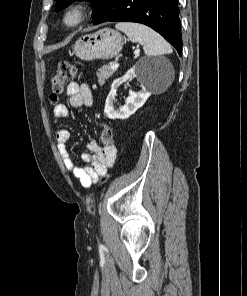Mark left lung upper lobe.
I'll return each mask as SVG.
<instances>
[{"mask_svg": "<svg viewBox=\"0 0 247 296\" xmlns=\"http://www.w3.org/2000/svg\"><path fill=\"white\" fill-rule=\"evenodd\" d=\"M76 0H57L56 11L69 5L71 2ZM93 3V14L92 17L96 18L111 2V0H88Z\"/></svg>", "mask_w": 247, "mask_h": 296, "instance_id": "obj_1", "label": "left lung upper lobe"}]
</instances>
